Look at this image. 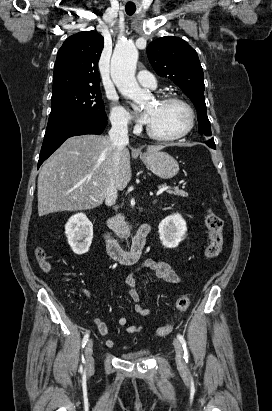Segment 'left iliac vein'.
<instances>
[{
    "mask_svg": "<svg viewBox=\"0 0 272 411\" xmlns=\"http://www.w3.org/2000/svg\"><path fill=\"white\" fill-rule=\"evenodd\" d=\"M173 346L176 354V363L178 366L182 367L184 365L183 349L180 342L177 339L173 340Z\"/></svg>",
    "mask_w": 272,
    "mask_h": 411,
    "instance_id": "4c4485c4",
    "label": "left iliac vein"
}]
</instances>
